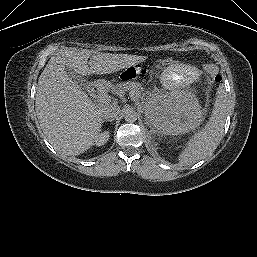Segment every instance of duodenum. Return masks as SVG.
<instances>
[{
  "mask_svg": "<svg viewBox=\"0 0 257 257\" xmlns=\"http://www.w3.org/2000/svg\"><path fill=\"white\" fill-rule=\"evenodd\" d=\"M98 88H99L98 84L92 83L88 87V93L90 95H94L97 92Z\"/></svg>",
  "mask_w": 257,
  "mask_h": 257,
  "instance_id": "obj_1",
  "label": "duodenum"
}]
</instances>
